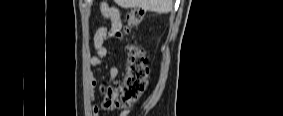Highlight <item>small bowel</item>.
<instances>
[{"mask_svg": "<svg viewBox=\"0 0 283 116\" xmlns=\"http://www.w3.org/2000/svg\"><path fill=\"white\" fill-rule=\"evenodd\" d=\"M98 9L101 12V15L110 21V27L101 26L95 32L93 38V45L95 54L89 58V64L93 67H99L103 64L104 59L108 55V48L105 45V42L110 37H118L120 36L122 30V20L120 16V12L118 9L114 7H109L105 2H100L98 5ZM119 76V68L117 66H111L109 68V80L110 83L113 84L116 82ZM93 88L98 86V81L93 79L91 82ZM92 115L98 116L99 109L98 106L94 105L91 108ZM122 116L127 115V112H123Z\"/></svg>", "mask_w": 283, "mask_h": 116, "instance_id": "small-bowel-1", "label": "small bowel"}]
</instances>
